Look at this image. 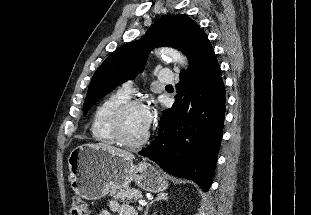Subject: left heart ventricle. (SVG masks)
Here are the masks:
<instances>
[{"label":"left heart ventricle","mask_w":311,"mask_h":215,"mask_svg":"<svg viewBox=\"0 0 311 215\" xmlns=\"http://www.w3.org/2000/svg\"><path fill=\"white\" fill-rule=\"evenodd\" d=\"M144 111L145 108L135 107L125 116V132L130 140H139L147 133L143 124Z\"/></svg>","instance_id":"1"}]
</instances>
